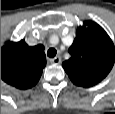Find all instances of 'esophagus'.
I'll use <instances>...</instances> for the list:
<instances>
[{
  "mask_svg": "<svg viewBox=\"0 0 115 114\" xmlns=\"http://www.w3.org/2000/svg\"><path fill=\"white\" fill-rule=\"evenodd\" d=\"M50 62L53 64H60L61 63V58L59 56L54 57L52 59H50Z\"/></svg>",
  "mask_w": 115,
  "mask_h": 114,
  "instance_id": "obj_1",
  "label": "esophagus"
}]
</instances>
